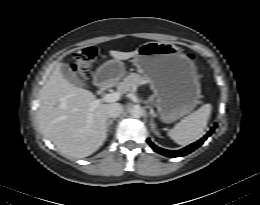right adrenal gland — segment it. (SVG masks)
<instances>
[{"mask_svg":"<svg viewBox=\"0 0 260 205\" xmlns=\"http://www.w3.org/2000/svg\"><path fill=\"white\" fill-rule=\"evenodd\" d=\"M115 120H116V118L108 120V122H107V131L108 132L111 131V126L113 124V121H115Z\"/></svg>","mask_w":260,"mask_h":205,"instance_id":"obj_1","label":"right adrenal gland"}]
</instances>
